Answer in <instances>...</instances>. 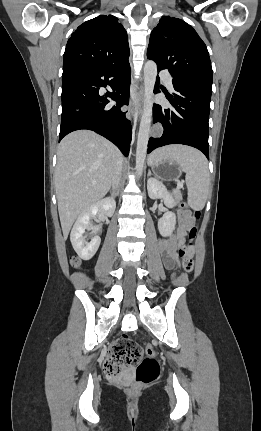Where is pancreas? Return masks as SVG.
<instances>
[{"mask_svg": "<svg viewBox=\"0 0 261 431\" xmlns=\"http://www.w3.org/2000/svg\"><path fill=\"white\" fill-rule=\"evenodd\" d=\"M174 197H175V199H176L177 202L181 201L182 200V194H181V192L178 191V190L174 191Z\"/></svg>", "mask_w": 261, "mask_h": 431, "instance_id": "pancreas-1", "label": "pancreas"}]
</instances>
